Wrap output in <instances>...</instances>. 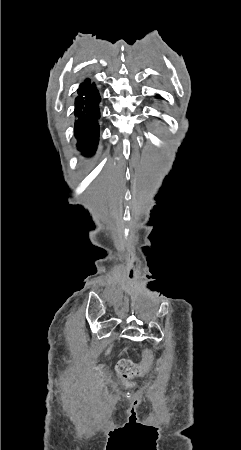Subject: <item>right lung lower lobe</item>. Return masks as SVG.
<instances>
[{
	"mask_svg": "<svg viewBox=\"0 0 241 450\" xmlns=\"http://www.w3.org/2000/svg\"><path fill=\"white\" fill-rule=\"evenodd\" d=\"M75 99V137L78 149L87 157L94 154L99 141V103L101 97L96 84L86 79L80 84Z\"/></svg>",
	"mask_w": 241,
	"mask_h": 450,
	"instance_id": "98d812e1",
	"label": "right lung lower lobe"
}]
</instances>
